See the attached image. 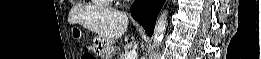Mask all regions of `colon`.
I'll list each match as a JSON object with an SVG mask.
<instances>
[{
  "label": "colon",
  "instance_id": "5ec220e1",
  "mask_svg": "<svg viewBox=\"0 0 261 59\" xmlns=\"http://www.w3.org/2000/svg\"><path fill=\"white\" fill-rule=\"evenodd\" d=\"M84 58H90V56L86 55V56H84Z\"/></svg>",
  "mask_w": 261,
  "mask_h": 59
}]
</instances>
